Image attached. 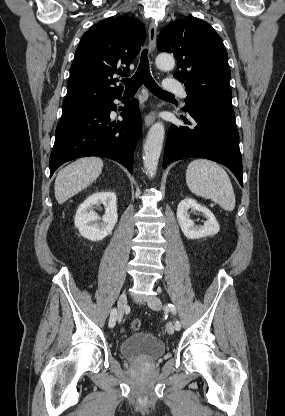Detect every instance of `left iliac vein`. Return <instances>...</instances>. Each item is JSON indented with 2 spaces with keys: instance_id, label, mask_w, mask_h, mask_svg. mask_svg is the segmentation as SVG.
I'll return each instance as SVG.
<instances>
[{
  "instance_id": "obj_1",
  "label": "left iliac vein",
  "mask_w": 285,
  "mask_h": 416,
  "mask_svg": "<svg viewBox=\"0 0 285 416\" xmlns=\"http://www.w3.org/2000/svg\"><path fill=\"white\" fill-rule=\"evenodd\" d=\"M148 306L150 309L153 310H160L162 307V301L160 298L158 297H153L149 302H148ZM176 329V328H175ZM177 329H180V327H178ZM176 329V330H177ZM166 331L168 334L172 335L174 333V326L171 322H168L166 324Z\"/></svg>"
}]
</instances>
